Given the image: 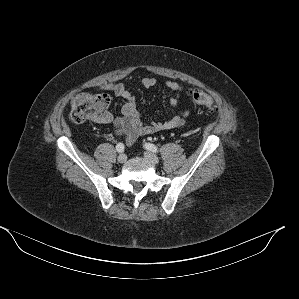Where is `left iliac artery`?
Listing matches in <instances>:
<instances>
[{"instance_id": "obj_1", "label": "left iliac artery", "mask_w": 299, "mask_h": 299, "mask_svg": "<svg viewBox=\"0 0 299 299\" xmlns=\"http://www.w3.org/2000/svg\"><path fill=\"white\" fill-rule=\"evenodd\" d=\"M145 148H146L147 150L152 151L153 153H158V148H157L154 144L146 143V144H145Z\"/></svg>"}]
</instances>
